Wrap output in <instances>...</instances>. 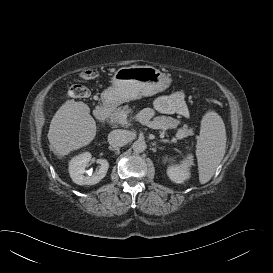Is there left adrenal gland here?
<instances>
[{"instance_id": "1", "label": "left adrenal gland", "mask_w": 273, "mask_h": 273, "mask_svg": "<svg viewBox=\"0 0 273 273\" xmlns=\"http://www.w3.org/2000/svg\"><path fill=\"white\" fill-rule=\"evenodd\" d=\"M161 142H166V140H161Z\"/></svg>"}]
</instances>
